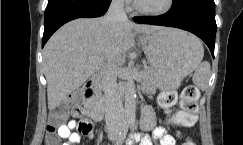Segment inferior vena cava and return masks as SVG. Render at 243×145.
<instances>
[{"mask_svg":"<svg viewBox=\"0 0 243 145\" xmlns=\"http://www.w3.org/2000/svg\"><path fill=\"white\" fill-rule=\"evenodd\" d=\"M106 20L112 27H116L120 22L128 21L124 10V0H112L106 14ZM105 93V112L106 118L117 116L122 118L123 105L117 89V66L114 57L107 59V67L103 79Z\"/></svg>","mask_w":243,"mask_h":145,"instance_id":"obj_1","label":"inferior vena cava"}]
</instances>
